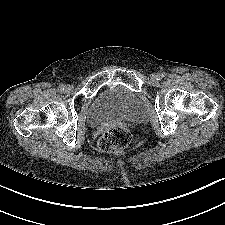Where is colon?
<instances>
[{
  "label": "colon",
  "mask_w": 225,
  "mask_h": 225,
  "mask_svg": "<svg viewBox=\"0 0 225 225\" xmlns=\"http://www.w3.org/2000/svg\"><path fill=\"white\" fill-rule=\"evenodd\" d=\"M135 140L130 131L122 126L106 130L98 140V147L102 152H115L133 145Z\"/></svg>",
  "instance_id": "obj_1"
}]
</instances>
